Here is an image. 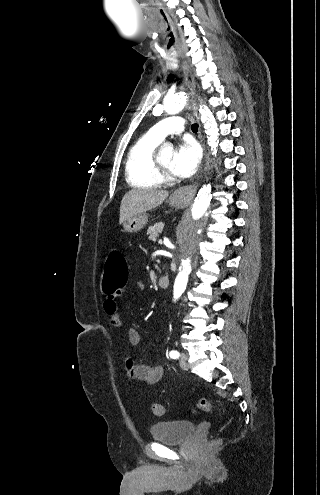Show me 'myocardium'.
Returning a JSON list of instances; mask_svg holds the SVG:
<instances>
[{"mask_svg":"<svg viewBox=\"0 0 320 495\" xmlns=\"http://www.w3.org/2000/svg\"><path fill=\"white\" fill-rule=\"evenodd\" d=\"M154 164H155L156 171L160 177H169L170 170L167 167H165L164 164L162 163V161L160 159V152L159 151H155Z\"/></svg>","mask_w":320,"mask_h":495,"instance_id":"f54148a6","label":"myocardium"}]
</instances>
